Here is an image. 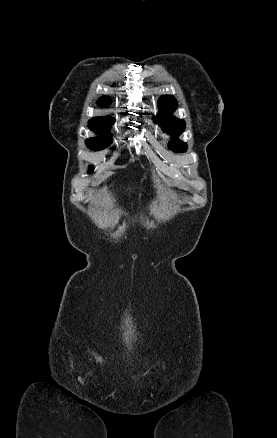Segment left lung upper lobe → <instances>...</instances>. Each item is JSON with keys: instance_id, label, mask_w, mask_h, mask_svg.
Masks as SVG:
<instances>
[{"instance_id": "5c2ea615", "label": "left lung upper lobe", "mask_w": 277, "mask_h": 438, "mask_svg": "<svg viewBox=\"0 0 277 438\" xmlns=\"http://www.w3.org/2000/svg\"><path fill=\"white\" fill-rule=\"evenodd\" d=\"M158 104L162 113L155 117V122L162 127L164 132L173 137L179 136L185 129V123L183 120L171 115L177 106L176 99L169 95H163L158 100ZM169 148L174 152H184L186 144L179 140H174L169 143Z\"/></svg>"}]
</instances>
